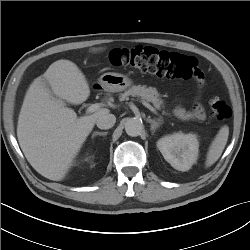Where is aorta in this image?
<instances>
[{
    "label": "aorta",
    "instance_id": "762f6f07",
    "mask_svg": "<svg viewBox=\"0 0 250 250\" xmlns=\"http://www.w3.org/2000/svg\"><path fill=\"white\" fill-rule=\"evenodd\" d=\"M143 124L139 119L129 118L125 123V131L129 136L136 137L141 134Z\"/></svg>",
    "mask_w": 250,
    "mask_h": 250
}]
</instances>
